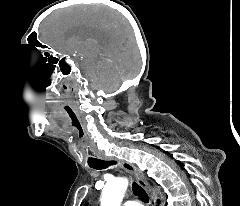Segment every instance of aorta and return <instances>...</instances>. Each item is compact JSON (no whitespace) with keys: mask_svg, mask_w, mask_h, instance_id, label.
<instances>
[{"mask_svg":"<svg viewBox=\"0 0 240 206\" xmlns=\"http://www.w3.org/2000/svg\"><path fill=\"white\" fill-rule=\"evenodd\" d=\"M128 187V179L114 178L106 183L101 194V206H120Z\"/></svg>","mask_w":240,"mask_h":206,"instance_id":"762f6f07","label":"aorta"}]
</instances>
